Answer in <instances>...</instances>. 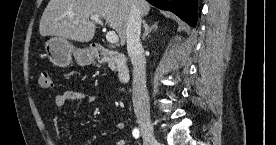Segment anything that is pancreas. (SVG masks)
I'll return each mask as SVG.
<instances>
[{
    "instance_id": "obj_1",
    "label": "pancreas",
    "mask_w": 276,
    "mask_h": 145,
    "mask_svg": "<svg viewBox=\"0 0 276 145\" xmlns=\"http://www.w3.org/2000/svg\"><path fill=\"white\" fill-rule=\"evenodd\" d=\"M109 66H110V68H111L112 70H114V69H115V66H114V64H113V63H110V64H109Z\"/></svg>"
}]
</instances>
